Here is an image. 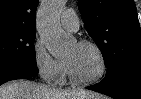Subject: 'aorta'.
<instances>
[{
    "label": "aorta",
    "instance_id": "1",
    "mask_svg": "<svg viewBox=\"0 0 141 99\" xmlns=\"http://www.w3.org/2000/svg\"><path fill=\"white\" fill-rule=\"evenodd\" d=\"M64 0H45L38 11L37 31L53 56L67 52L72 45V38L63 33L60 26V14Z\"/></svg>",
    "mask_w": 141,
    "mask_h": 99
}]
</instances>
